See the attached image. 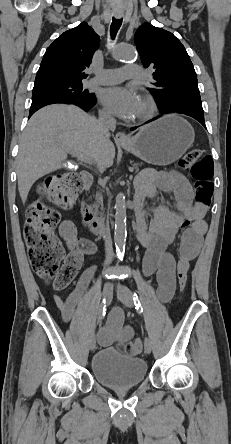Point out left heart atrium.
<instances>
[{"mask_svg":"<svg viewBox=\"0 0 231 444\" xmlns=\"http://www.w3.org/2000/svg\"><path fill=\"white\" fill-rule=\"evenodd\" d=\"M99 99L109 112L121 118L135 116L140 103L135 91L121 86L103 89Z\"/></svg>","mask_w":231,"mask_h":444,"instance_id":"obj_1","label":"left heart atrium"}]
</instances>
